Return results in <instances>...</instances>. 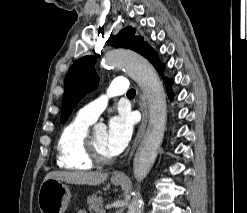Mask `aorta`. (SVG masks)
<instances>
[{
	"label": "aorta",
	"instance_id": "1",
	"mask_svg": "<svg viewBox=\"0 0 247 213\" xmlns=\"http://www.w3.org/2000/svg\"><path fill=\"white\" fill-rule=\"evenodd\" d=\"M102 65L124 68L143 92L149 110V122L133 161L134 176L142 181L150 172L163 141L167 121L166 95L155 69L141 55L123 49L107 52ZM103 125H95V129ZM127 213H142V200L138 196L128 206Z\"/></svg>",
	"mask_w": 247,
	"mask_h": 213
}]
</instances>
